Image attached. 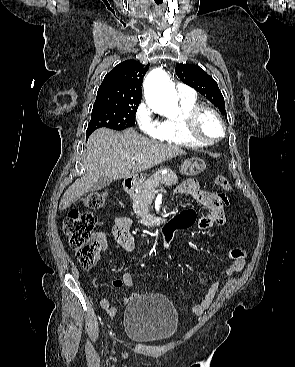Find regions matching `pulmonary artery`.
Instances as JSON below:
<instances>
[{
    "mask_svg": "<svg viewBox=\"0 0 295 367\" xmlns=\"http://www.w3.org/2000/svg\"><path fill=\"white\" fill-rule=\"evenodd\" d=\"M177 90L180 99H194L196 96L195 91L184 84H178Z\"/></svg>",
    "mask_w": 295,
    "mask_h": 367,
    "instance_id": "pulmonary-artery-1",
    "label": "pulmonary artery"
}]
</instances>
